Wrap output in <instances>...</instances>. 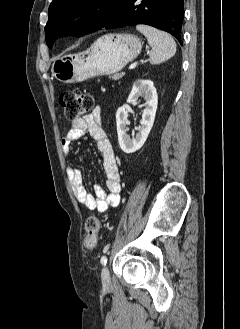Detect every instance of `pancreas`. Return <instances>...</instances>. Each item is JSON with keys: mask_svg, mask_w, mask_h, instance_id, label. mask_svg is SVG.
<instances>
[{"mask_svg": "<svg viewBox=\"0 0 240 329\" xmlns=\"http://www.w3.org/2000/svg\"><path fill=\"white\" fill-rule=\"evenodd\" d=\"M123 75H124L123 73H116L113 76H111V78L113 80H119V79H121L123 77Z\"/></svg>", "mask_w": 240, "mask_h": 329, "instance_id": "1", "label": "pancreas"}]
</instances>
